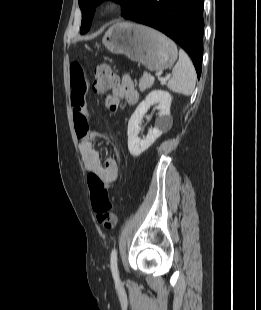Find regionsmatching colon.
I'll list each match as a JSON object with an SVG mask.
<instances>
[{
	"mask_svg": "<svg viewBox=\"0 0 261 310\" xmlns=\"http://www.w3.org/2000/svg\"><path fill=\"white\" fill-rule=\"evenodd\" d=\"M117 79L108 63H100L94 72L93 89L98 93L106 92ZM91 195L92 208L96 213L97 221L105 229H113L117 224L116 216L110 212L108 187L95 173H90L87 178Z\"/></svg>",
	"mask_w": 261,
	"mask_h": 310,
	"instance_id": "5ec220e1",
	"label": "colon"
}]
</instances>
